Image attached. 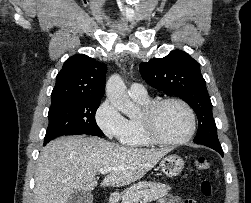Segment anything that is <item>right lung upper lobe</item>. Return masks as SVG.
Returning a JSON list of instances; mask_svg holds the SVG:
<instances>
[{
  "label": "right lung upper lobe",
  "mask_w": 251,
  "mask_h": 203,
  "mask_svg": "<svg viewBox=\"0 0 251 203\" xmlns=\"http://www.w3.org/2000/svg\"><path fill=\"white\" fill-rule=\"evenodd\" d=\"M106 69L105 64L84 54L68 58L56 77L51 93V107L77 100H101Z\"/></svg>",
  "instance_id": "cb5924a9"
}]
</instances>
